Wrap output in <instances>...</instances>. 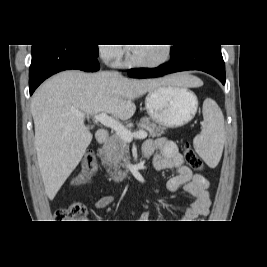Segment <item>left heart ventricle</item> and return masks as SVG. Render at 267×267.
I'll return each instance as SVG.
<instances>
[{"instance_id": "left-heart-ventricle-1", "label": "left heart ventricle", "mask_w": 267, "mask_h": 267, "mask_svg": "<svg viewBox=\"0 0 267 267\" xmlns=\"http://www.w3.org/2000/svg\"><path fill=\"white\" fill-rule=\"evenodd\" d=\"M132 53L138 61H156L164 55V47L162 45L137 46L132 50Z\"/></svg>"}]
</instances>
